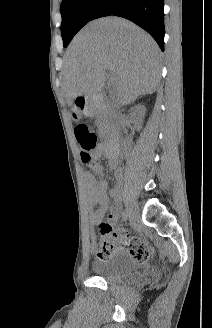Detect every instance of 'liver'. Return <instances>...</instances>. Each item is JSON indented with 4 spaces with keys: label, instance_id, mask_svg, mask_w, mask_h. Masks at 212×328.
<instances>
[{
    "label": "liver",
    "instance_id": "obj_1",
    "mask_svg": "<svg viewBox=\"0 0 212 328\" xmlns=\"http://www.w3.org/2000/svg\"><path fill=\"white\" fill-rule=\"evenodd\" d=\"M159 48L134 23L105 17L88 23L72 40L65 56L63 86L70 99L100 93L107 74L121 105L152 94L160 79Z\"/></svg>",
    "mask_w": 212,
    "mask_h": 328
}]
</instances>
